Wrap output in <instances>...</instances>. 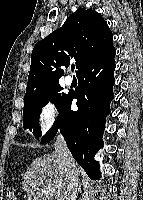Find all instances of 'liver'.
Returning <instances> with one entry per match:
<instances>
[{"label": "liver", "instance_id": "liver-1", "mask_svg": "<svg viewBox=\"0 0 143 200\" xmlns=\"http://www.w3.org/2000/svg\"><path fill=\"white\" fill-rule=\"evenodd\" d=\"M40 186L49 189V200H64L66 174L55 151L36 158L23 176L22 188L31 198Z\"/></svg>", "mask_w": 143, "mask_h": 200}]
</instances>
